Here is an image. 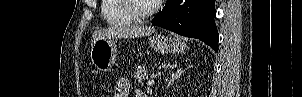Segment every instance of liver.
Returning <instances> with one entry per match:
<instances>
[{
	"label": "liver",
	"mask_w": 302,
	"mask_h": 97,
	"mask_svg": "<svg viewBox=\"0 0 302 97\" xmlns=\"http://www.w3.org/2000/svg\"><path fill=\"white\" fill-rule=\"evenodd\" d=\"M155 32L153 27L141 25H121L96 31L91 39V46L99 38H141Z\"/></svg>",
	"instance_id": "obj_1"
}]
</instances>
